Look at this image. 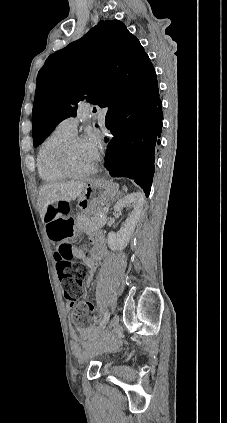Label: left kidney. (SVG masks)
<instances>
[{
    "label": "left kidney",
    "instance_id": "obj_1",
    "mask_svg": "<svg viewBox=\"0 0 227 423\" xmlns=\"http://www.w3.org/2000/svg\"><path fill=\"white\" fill-rule=\"evenodd\" d=\"M143 204V194H139V192H136V194H129V196H125V198L116 202L114 211L123 210L124 206H127V208H134V210L129 213V217L125 219L122 227H120L117 233H115V231H109L107 239L110 249H123V247H126L127 243H129L135 225L137 221H139V217L142 213Z\"/></svg>",
    "mask_w": 227,
    "mask_h": 423
}]
</instances>
